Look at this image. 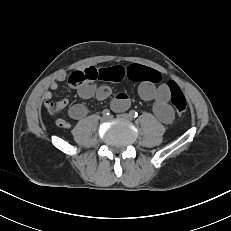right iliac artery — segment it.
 I'll use <instances>...</instances> for the list:
<instances>
[{"mask_svg": "<svg viewBox=\"0 0 231 231\" xmlns=\"http://www.w3.org/2000/svg\"><path fill=\"white\" fill-rule=\"evenodd\" d=\"M102 114H103L104 116H107V115L110 114V110H109V109H104L103 112H102Z\"/></svg>", "mask_w": 231, "mask_h": 231, "instance_id": "right-iliac-artery-1", "label": "right iliac artery"}]
</instances>
